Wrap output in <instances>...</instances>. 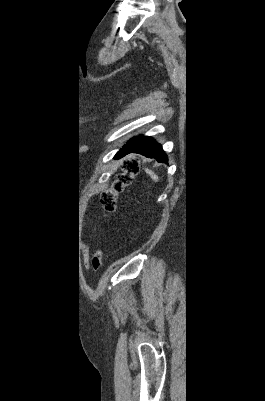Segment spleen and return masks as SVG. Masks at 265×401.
I'll return each instance as SVG.
<instances>
[{
	"label": "spleen",
	"instance_id": "obj_1",
	"mask_svg": "<svg viewBox=\"0 0 265 401\" xmlns=\"http://www.w3.org/2000/svg\"><path fill=\"white\" fill-rule=\"evenodd\" d=\"M146 172H147V174H150L151 178H153V180H155V182H158V180H159L158 174H155V172H153V170H149V168H146Z\"/></svg>",
	"mask_w": 265,
	"mask_h": 401
}]
</instances>
